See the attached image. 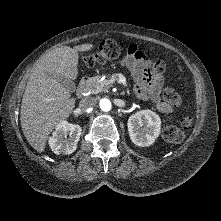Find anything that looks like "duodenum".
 Returning a JSON list of instances; mask_svg holds the SVG:
<instances>
[{
    "label": "duodenum",
    "instance_id": "duodenum-1",
    "mask_svg": "<svg viewBox=\"0 0 221 221\" xmlns=\"http://www.w3.org/2000/svg\"><path fill=\"white\" fill-rule=\"evenodd\" d=\"M92 84V77L85 76L81 79L78 86V93L80 96H84L88 93L90 86Z\"/></svg>",
    "mask_w": 221,
    "mask_h": 221
}]
</instances>
